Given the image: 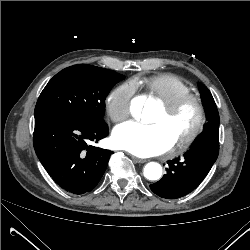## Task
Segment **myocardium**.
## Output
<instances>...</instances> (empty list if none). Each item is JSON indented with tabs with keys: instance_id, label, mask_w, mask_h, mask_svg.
I'll return each mask as SVG.
<instances>
[{
	"instance_id": "myocardium-1",
	"label": "myocardium",
	"mask_w": 250,
	"mask_h": 250,
	"mask_svg": "<svg viewBox=\"0 0 250 250\" xmlns=\"http://www.w3.org/2000/svg\"><path fill=\"white\" fill-rule=\"evenodd\" d=\"M188 104H192L195 107L196 121L193 127L185 135L179 137L175 141V145L181 149L192 144L202 132L206 123V110L204 103L200 96L193 92L183 93L169 102H162V107L167 117L173 116Z\"/></svg>"
}]
</instances>
